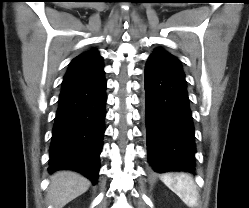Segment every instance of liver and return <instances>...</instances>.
I'll use <instances>...</instances> for the list:
<instances>
[{"label": "liver", "mask_w": 249, "mask_h": 208, "mask_svg": "<svg viewBox=\"0 0 249 208\" xmlns=\"http://www.w3.org/2000/svg\"><path fill=\"white\" fill-rule=\"evenodd\" d=\"M90 181L72 171H58L50 177L49 203L54 208H63L67 203L85 193Z\"/></svg>", "instance_id": "1"}]
</instances>
